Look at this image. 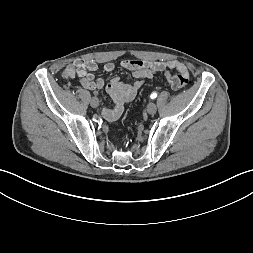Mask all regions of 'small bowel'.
Masks as SVG:
<instances>
[{"mask_svg": "<svg viewBox=\"0 0 253 253\" xmlns=\"http://www.w3.org/2000/svg\"><path fill=\"white\" fill-rule=\"evenodd\" d=\"M121 66L129 70L136 79L133 82H122L119 78H112L106 85L103 79L94 78L93 72L97 69V64L93 60L78 59L69 64L66 72L70 77L78 76L83 88L87 90H99L104 86L113 101L112 107L102 109L103 117L108 121H114L123 112L124 104L131 102L143 86L144 80L151 79L156 73L162 72L167 68L187 72V67L177 60L169 61H142V60H123ZM105 73L110 74L115 70V64L107 62L103 66Z\"/></svg>", "mask_w": 253, "mask_h": 253, "instance_id": "obj_1", "label": "small bowel"}]
</instances>
